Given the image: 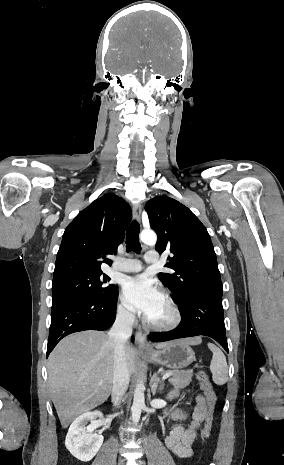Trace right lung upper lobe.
<instances>
[{
  "instance_id": "right-lung-upper-lobe-1",
  "label": "right lung upper lobe",
  "mask_w": 284,
  "mask_h": 465,
  "mask_svg": "<svg viewBox=\"0 0 284 465\" xmlns=\"http://www.w3.org/2000/svg\"><path fill=\"white\" fill-rule=\"evenodd\" d=\"M132 217L129 204L105 194L82 210L67 226L57 253L53 280L74 274L102 273L107 254H116Z\"/></svg>"
}]
</instances>
